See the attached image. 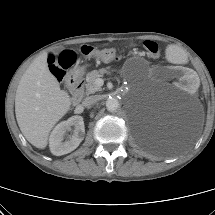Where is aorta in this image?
Listing matches in <instances>:
<instances>
[{"instance_id":"1","label":"aorta","mask_w":215,"mask_h":215,"mask_svg":"<svg viewBox=\"0 0 215 215\" xmlns=\"http://www.w3.org/2000/svg\"><path fill=\"white\" fill-rule=\"evenodd\" d=\"M106 107H107V110L110 111V112H114L116 111L118 108H119V102L117 99H109L107 102H106Z\"/></svg>"}]
</instances>
